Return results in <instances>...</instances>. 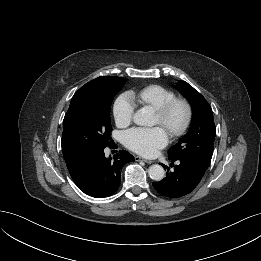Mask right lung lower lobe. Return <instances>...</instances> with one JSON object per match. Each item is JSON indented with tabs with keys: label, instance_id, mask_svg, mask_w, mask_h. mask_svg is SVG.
Here are the masks:
<instances>
[{
	"label": "right lung lower lobe",
	"instance_id": "1",
	"mask_svg": "<svg viewBox=\"0 0 261 261\" xmlns=\"http://www.w3.org/2000/svg\"><path fill=\"white\" fill-rule=\"evenodd\" d=\"M132 161L134 157L125 150H120L113 158H107L104 148L65 159L75 184L85 194L95 198L114 194L121 183L123 166Z\"/></svg>",
	"mask_w": 261,
	"mask_h": 261
}]
</instances>
